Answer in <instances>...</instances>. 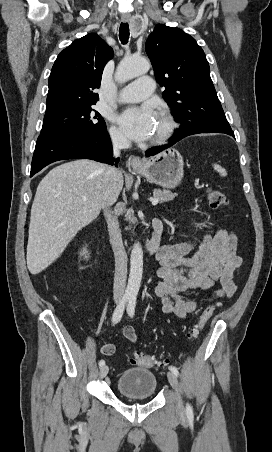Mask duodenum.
<instances>
[{
  "label": "duodenum",
  "instance_id": "410a0bca",
  "mask_svg": "<svg viewBox=\"0 0 272 452\" xmlns=\"http://www.w3.org/2000/svg\"><path fill=\"white\" fill-rule=\"evenodd\" d=\"M153 234L151 239L146 243L145 250L148 254L158 255L159 245L163 234V222L160 218H154L152 221Z\"/></svg>",
  "mask_w": 272,
  "mask_h": 452
}]
</instances>
